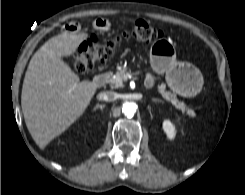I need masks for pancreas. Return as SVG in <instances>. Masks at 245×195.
<instances>
[{
  "label": "pancreas",
  "mask_w": 245,
  "mask_h": 195,
  "mask_svg": "<svg viewBox=\"0 0 245 195\" xmlns=\"http://www.w3.org/2000/svg\"><path fill=\"white\" fill-rule=\"evenodd\" d=\"M128 73L129 70L127 69H121L115 74L109 73L107 82L110 84L111 88L114 89L123 87L124 78ZM157 90L162 95V97L166 101H169L172 105H174L176 109L181 110L182 113H186L191 118L195 116V112L192 109L188 108L183 102H180L176 98L175 94H172L171 92L166 90L165 84H159Z\"/></svg>",
  "instance_id": "cf45deb5"
}]
</instances>
